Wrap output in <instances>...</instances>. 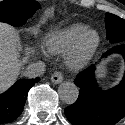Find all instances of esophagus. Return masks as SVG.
Here are the masks:
<instances>
[{"instance_id": "esophagus-1", "label": "esophagus", "mask_w": 125, "mask_h": 125, "mask_svg": "<svg viewBox=\"0 0 125 125\" xmlns=\"http://www.w3.org/2000/svg\"><path fill=\"white\" fill-rule=\"evenodd\" d=\"M51 81L55 84H59L63 81V73L61 71H56L51 76Z\"/></svg>"}]
</instances>
